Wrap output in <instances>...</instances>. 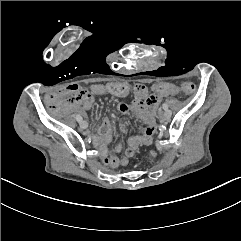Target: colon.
Masks as SVG:
<instances>
[{"instance_id":"1","label":"colon","mask_w":241,"mask_h":241,"mask_svg":"<svg viewBox=\"0 0 241 241\" xmlns=\"http://www.w3.org/2000/svg\"><path fill=\"white\" fill-rule=\"evenodd\" d=\"M128 82L126 79H112L111 84L108 86L109 95L111 97H122L123 93L126 92ZM181 90L185 93H193L196 90V86L193 83H184L181 85ZM154 91L157 94L165 95L168 93L169 88L163 82H157L154 85ZM148 156L155 157L156 152L153 150L148 151Z\"/></svg>"}]
</instances>
